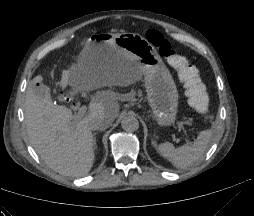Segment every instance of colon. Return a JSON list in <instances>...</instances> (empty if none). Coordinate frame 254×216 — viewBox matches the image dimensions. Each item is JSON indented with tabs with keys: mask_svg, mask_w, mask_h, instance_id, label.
I'll return each mask as SVG.
<instances>
[{
	"mask_svg": "<svg viewBox=\"0 0 254 216\" xmlns=\"http://www.w3.org/2000/svg\"><path fill=\"white\" fill-rule=\"evenodd\" d=\"M147 40L156 46L169 64L177 71L178 78L185 88L189 104L201 115H206L209 107V98L197 74L187 59L175 50L161 32L149 29L146 32Z\"/></svg>",
	"mask_w": 254,
	"mask_h": 216,
	"instance_id": "1",
	"label": "colon"
}]
</instances>
